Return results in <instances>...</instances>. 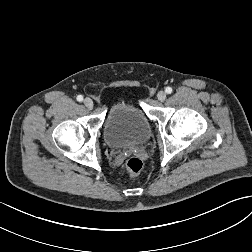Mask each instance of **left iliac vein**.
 <instances>
[{"instance_id": "left-iliac-vein-1", "label": "left iliac vein", "mask_w": 252, "mask_h": 252, "mask_svg": "<svg viewBox=\"0 0 252 252\" xmlns=\"http://www.w3.org/2000/svg\"><path fill=\"white\" fill-rule=\"evenodd\" d=\"M166 93L164 91H159L157 94V98L159 101L163 102L166 99Z\"/></svg>"}]
</instances>
